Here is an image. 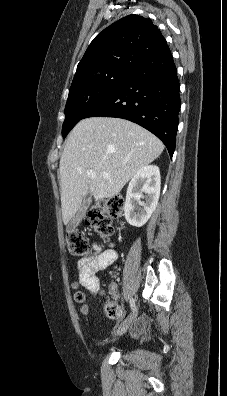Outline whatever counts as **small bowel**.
Returning <instances> with one entry per match:
<instances>
[{
  "instance_id": "1",
  "label": "small bowel",
  "mask_w": 227,
  "mask_h": 396,
  "mask_svg": "<svg viewBox=\"0 0 227 396\" xmlns=\"http://www.w3.org/2000/svg\"><path fill=\"white\" fill-rule=\"evenodd\" d=\"M94 254L81 259L78 262V273L81 284L88 289L91 293L95 294L99 290V279L97 273L101 270L106 269L111 264H113L118 253L113 248H108L106 250H101L97 245H94ZM110 294L114 298H119V291L116 284L110 286ZM123 312L117 309V314L115 317L121 318ZM146 324V319H137L131 326V330L134 334L139 333Z\"/></svg>"
}]
</instances>
